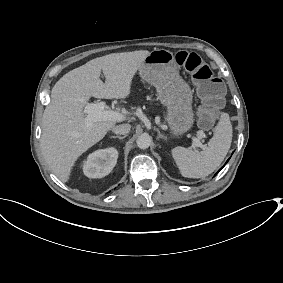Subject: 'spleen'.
<instances>
[{
    "label": "spleen",
    "instance_id": "obj_1",
    "mask_svg": "<svg viewBox=\"0 0 283 283\" xmlns=\"http://www.w3.org/2000/svg\"><path fill=\"white\" fill-rule=\"evenodd\" d=\"M232 142V126L227 113H222L214 135L198 152L183 147L171 150L172 158L184 177L201 178L216 170L227 155Z\"/></svg>",
    "mask_w": 283,
    "mask_h": 283
}]
</instances>
